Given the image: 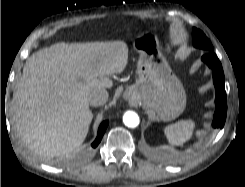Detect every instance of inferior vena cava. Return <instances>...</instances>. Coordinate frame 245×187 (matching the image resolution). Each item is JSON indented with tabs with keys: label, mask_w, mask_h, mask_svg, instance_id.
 I'll list each match as a JSON object with an SVG mask.
<instances>
[{
	"label": "inferior vena cava",
	"mask_w": 245,
	"mask_h": 187,
	"mask_svg": "<svg viewBox=\"0 0 245 187\" xmlns=\"http://www.w3.org/2000/svg\"><path fill=\"white\" fill-rule=\"evenodd\" d=\"M109 94L106 89H97L88 97V103L90 106L98 107L105 104L108 100Z\"/></svg>",
	"instance_id": "602c4592"
}]
</instances>
